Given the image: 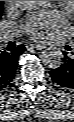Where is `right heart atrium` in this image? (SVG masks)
<instances>
[{"label":"right heart atrium","mask_w":74,"mask_h":122,"mask_svg":"<svg viewBox=\"0 0 74 122\" xmlns=\"http://www.w3.org/2000/svg\"><path fill=\"white\" fill-rule=\"evenodd\" d=\"M8 7H12L16 4V1H5Z\"/></svg>","instance_id":"obj_1"}]
</instances>
